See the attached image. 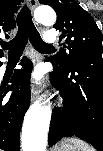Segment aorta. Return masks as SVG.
Returning a JSON list of instances; mask_svg holds the SVG:
<instances>
[{"mask_svg": "<svg viewBox=\"0 0 103 151\" xmlns=\"http://www.w3.org/2000/svg\"><path fill=\"white\" fill-rule=\"evenodd\" d=\"M34 17L43 25H52L56 22L55 11L47 6L38 7ZM50 119V105L38 101L31 105L22 127V151H46Z\"/></svg>", "mask_w": 103, "mask_h": 151, "instance_id": "762f6f07", "label": "aorta"}]
</instances>
